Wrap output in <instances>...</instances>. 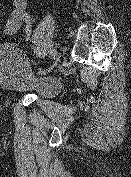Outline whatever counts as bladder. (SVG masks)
Wrapping results in <instances>:
<instances>
[{"label": "bladder", "instance_id": "obj_1", "mask_svg": "<svg viewBox=\"0 0 131 177\" xmlns=\"http://www.w3.org/2000/svg\"><path fill=\"white\" fill-rule=\"evenodd\" d=\"M0 82L7 93L40 98H51L61 90L58 77L34 73L27 57L14 45L0 48Z\"/></svg>", "mask_w": 131, "mask_h": 177}]
</instances>
